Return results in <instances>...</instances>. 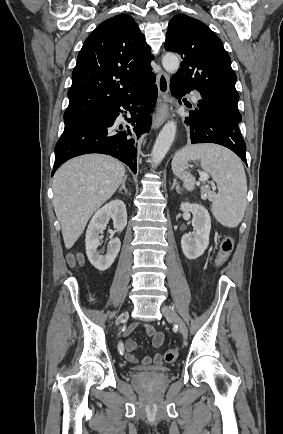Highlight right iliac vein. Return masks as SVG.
Masks as SVG:
<instances>
[{
    "label": "right iliac vein",
    "mask_w": 283,
    "mask_h": 434,
    "mask_svg": "<svg viewBox=\"0 0 283 434\" xmlns=\"http://www.w3.org/2000/svg\"><path fill=\"white\" fill-rule=\"evenodd\" d=\"M127 314H123V317H126Z\"/></svg>",
    "instance_id": "right-iliac-vein-1"
}]
</instances>
